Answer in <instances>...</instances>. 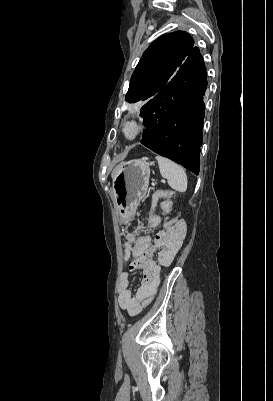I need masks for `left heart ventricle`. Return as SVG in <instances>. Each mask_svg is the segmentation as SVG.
I'll return each instance as SVG.
<instances>
[{"instance_id":"1","label":"left heart ventricle","mask_w":273,"mask_h":401,"mask_svg":"<svg viewBox=\"0 0 273 401\" xmlns=\"http://www.w3.org/2000/svg\"><path fill=\"white\" fill-rule=\"evenodd\" d=\"M133 133H134V131L131 127H127L124 132L125 137H127V138H131L133 136Z\"/></svg>"}]
</instances>
